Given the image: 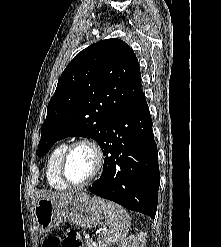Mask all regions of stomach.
<instances>
[{
  "mask_svg": "<svg viewBox=\"0 0 221 247\" xmlns=\"http://www.w3.org/2000/svg\"><path fill=\"white\" fill-rule=\"evenodd\" d=\"M105 200L78 193L64 199H39L35 205V219L41 232H49L62 222L85 228L97 226L103 219Z\"/></svg>",
  "mask_w": 221,
  "mask_h": 247,
  "instance_id": "1",
  "label": "stomach"
}]
</instances>
